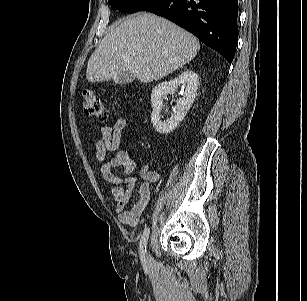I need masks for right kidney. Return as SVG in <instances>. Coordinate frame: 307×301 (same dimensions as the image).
Segmentation results:
<instances>
[{
	"label": "right kidney",
	"mask_w": 307,
	"mask_h": 301,
	"mask_svg": "<svg viewBox=\"0 0 307 301\" xmlns=\"http://www.w3.org/2000/svg\"><path fill=\"white\" fill-rule=\"evenodd\" d=\"M180 85L185 89L183 97L177 100L171 117L165 122H162L160 119V112L163 106V99L168 94H173ZM198 85V75L192 70H185L175 79L159 83L154 87L151 94L153 108L151 122L158 133L167 134L176 129L194 102Z\"/></svg>",
	"instance_id": "1"
}]
</instances>
